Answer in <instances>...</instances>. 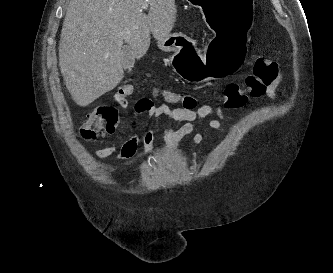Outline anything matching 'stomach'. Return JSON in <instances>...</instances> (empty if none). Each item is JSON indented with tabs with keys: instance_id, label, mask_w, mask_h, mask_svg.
I'll return each mask as SVG.
<instances>
[{
	"instance_id": "1",
	"label": "stomach",
	"mask_w": 333,
	"mask_h": 273,
	"mask_svg": "<svg viewBox=\"0 0 333 273\" xmlns=\"http://www.w3.org/2000/svg\"><path fill=\"white\" fill-rule=\"evenodd\" d=\"M204 15L205 27L217 32V38H248L256 16L254 0H187ZM204 58H197L192 40L183 33H170L158 41V47L172 53L173 69L189 81L201 75V81H228L239 75L240 65L248 59L247 39H212Z\"/></svg>"
}]
</instances>
